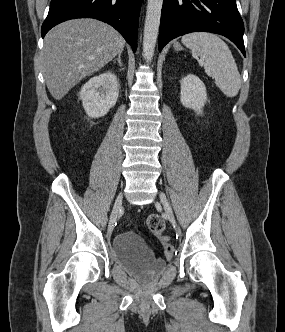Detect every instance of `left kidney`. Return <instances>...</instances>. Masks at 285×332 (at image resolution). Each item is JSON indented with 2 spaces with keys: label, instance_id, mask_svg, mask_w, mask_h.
<instances>
[{
  "label": "left kidney",
  "instance_id": "left-kidney-1",
  "mask_svg": "<svg viewBox=\"0 0 285 332\" xmlns=\"http://www.w3.org/2000/svg\"><path fill=\"white\" fill-rule=\"evenodd\" d=\"M180 101L186 108H191L198 114L207 101L206 87L204 83L193 74H188L181 79Z\"/></svg>",
  "mask_w": 285,
  "mask_h": 332
}]
</instances>
